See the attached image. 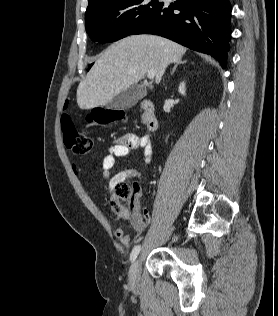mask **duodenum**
Returning a JSON list of instances; mask_svg holds the SVG:
<instances>
[{
    "label": "duodenum",
    "mask_w": 278,
    "mask_h": 316,
    "mask_svg": "<svg viewBox=\"0 0 278 316\" xmlns=\"http://www.w3.org/2000/svg\"><path fill=\"white\" fill-rule=\"evenodd\" d=\"M140 106L144 113L146 128L149 131H155L159 123L153 102L145 99L141 101Z\"/></svg>",
    "instance_id": "1"
}]
</instances>
